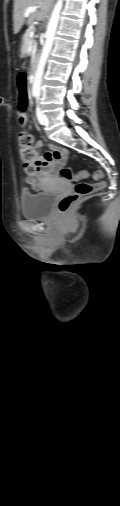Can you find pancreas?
Listing matches in <instances>:
<instances>
[{
  "label": "pancreas",
  "instance_id": "1",
  "mask_svg": "<svg viewBox=\"0 0 120 506\" xmlns=\"http://www.w3.org/2000/svg\"><path fill=\"white\" fill-rule=\"evenodd\" d=\"M33 30V27H30L23 37V49L27 50L29 43H30V32Z\"/></svg>",
  "mask_w": 120,
  "mask_h": 506
}]
</instances>
